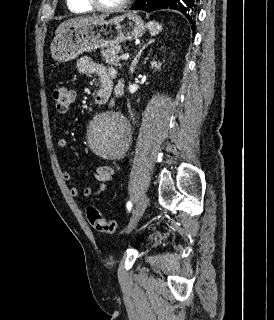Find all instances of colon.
Listing matches in <instances>:
<instances>
[{
    "label": "colon",
    "instance_id": "5ec220e1",
    "mask_svg": "<svg viewBox=\"0 0 274 320\" xmlns=\"http://www.w3.org/2000/svg\"><path fill=\"white\" fill-rule=\"evenodd\" d=\"M52 99L55 103L56 110L60 113L67 111L73 103L74 97L72 91L66 86H55L52 90ZM87 218L89 223L100 233L111 234L117 227V221H107L100 210L91 206L87 209Z\"/></svg>",
    "mask_w": 274,
    "mask_h": 320
}]
</instances>
